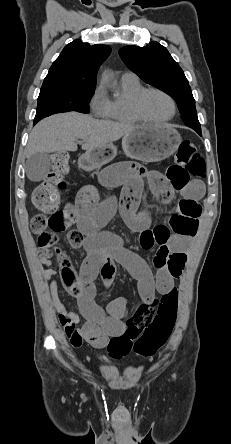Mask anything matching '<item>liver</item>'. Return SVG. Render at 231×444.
I'll return each instance as SVG.
<instances>
[{
  "label": "liver",
  "instance_id": "1",
  "mask_svg": "<svg viewBox=\"0 0 231 444\" xmlns=\"http://www.w3.org/2000/svg\"><path fill=\"white\" fill-rule=\"evenodd\" d=\"M137 126L96 120L78 112L52 115L41 120L32 130L26 147L29 158L35 153L77 150V139L87 152L104 147L131 133Z\"/></svg>",
  "mask_w": 231,
  "mask_h": 444
}]
</instances>
